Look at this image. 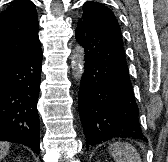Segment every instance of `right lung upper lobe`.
Here are the masks:
<instances>
[{
	"mask_svg": "<svg viewBox=\"0 0 168 162\" xmlns=\"http://www.w3.org/2000/svg\"><path fill=\"white\" fill-rule=\"evenodd\" d=\"M40 49L35 6L30 0H17L0 14V67Z\"/></svg>",
	"mask_w": 168,
	"mask_h": 162,
	"instance_id": "obj_1",
	"label": "right lung upper lobe"
}]
</instances>
